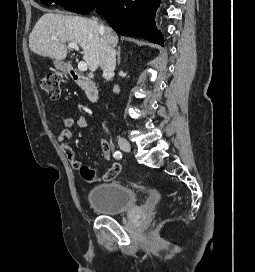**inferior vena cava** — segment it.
Here are the masks:
<instances>
[{
    "mask_svg": "<svg viewBox=\"0 0 255 272\" xmlns=\"http://www.w3.org/2000/svg\"><path fill=\"white\" fill-rule=\"evenodd\" d=\"M100 31H105L103 25H100ZM99 65L103 71V77L107 80H110V78L114 75V70L116 67V51L111 45L107 43L105 36L101 38ZM113 91L114 93H119V86L115 85Z\"/></svg>",
    "mask_w": 255,
    "mask_h": 272,
    "instance_id": "1",
    "label": "inferior vena cava"
}]
</instances>
